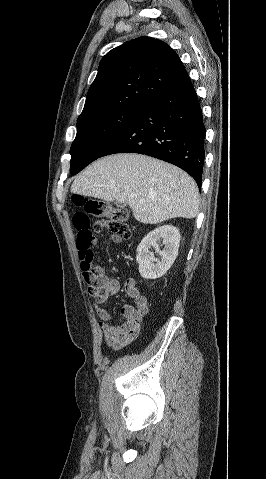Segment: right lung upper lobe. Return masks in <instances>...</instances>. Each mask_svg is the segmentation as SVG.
Returning <instances> with one entry per match:
<instances>
[{"label":"right lung upper lobe","mask_w":266,"mask_h":479,"mask_svg":"<svg viewBox=\"0 0 266 479\" xmlns=\"http://www.w3.org/2000/svg\"><path fill=\"white\" fill-rule=\"evenodd\" d=\"M188 80L179 56L165 42L146 36L128 41L102 58L78 119L114 109H143Z\"/></svg>","instance_id":"right-lung-upper-lobe-1"}]
</instances>
